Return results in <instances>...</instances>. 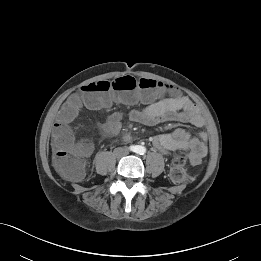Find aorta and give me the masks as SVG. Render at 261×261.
I'll use <instances>...</instances> for the list:
<instances>
[{
	"mask_svg": "<svg viewBox=\"0 0 261 261\" xmlns=\"http://www.w3.org/2000/svg\"><path fill=\"white\" fill-rule=\"evenodd\" d=\"M145 151H146V149L143 146H137L136 147V152L139 153V154H144Z\"/></svg>",
	"mask_w": 261,
	"mask_h": 261,
	"instance_id": "aorta-1",
	"label": "aorta"
}]
</instances>
